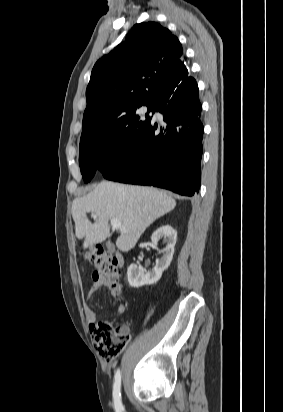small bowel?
<instances>
[{
	"instance_id": "small-bowel-1",
	"label": "small bowel",
	"mask_w": 283,
	"mask_h": 412,
	"mask_svg": "<svg viewBox=\"0 0 283 412\" xmlns=\"http://www.w3.org/2000/svg\"><path fill=\"white\" fill-rule=\"evenodd\" d=\"M104 286H109V284L104 279L93 278V283L91 287L89 288V290L87 291L84 310H85V316H86V320H87L89 327H91L96 322L97 315H96V312L89 306L88 302L93 297V295ZM114 294L115 293L112 292V295ZM124 311H125V305L123 303H120L119 305H117L114 310L116 314H123Z\"/></svg>"
}]
</instances>
